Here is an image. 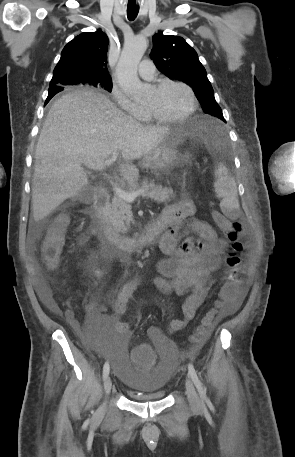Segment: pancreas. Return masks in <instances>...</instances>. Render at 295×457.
Returning <instances> with one entry per match:
<instances>
[{
  "label": "pancreas",
  "instance_id": "cf45deb5",
  "mask_svg": "<svg viewBox=\"0 0 295 457\" xmlns=\"http://www.w3.org/2000/svg\"><path fill=\"white\" fill-rule=\"evenodd\" d=\"M144 189L145 197L150 198L157 203L169 202L174 197L171 188L155 185L153 182L143 181L138 185H129L128 192H134ZM109 220L116 232L127 234L131 223L133 222V214L131 206L125 200L115 195L109 210Z\"/></svg>",
  "mask_w": 295,
  "mask_h": 457
}]
</instances>
